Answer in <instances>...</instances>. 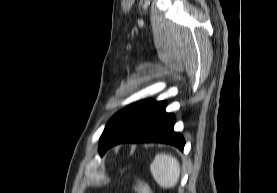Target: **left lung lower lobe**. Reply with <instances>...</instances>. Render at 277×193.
Wrapping results in <instances>:
<instances>
[{"mask_svg": "<svg viewBox=\"0 0 277 193\" xmlns=\"http://www.w3.org/2000/svg\"><path fill=\"white\" fill-rule=\"evenodd\" d=\"M166 102L143 100L124 109L100 140V154L122 142H161L183 150L184 138L174 132L175 117L165 112Z\"/></svg>", "mask_w": 277, "mask_h": 193, "instance_id": "0a47b994", "label": "left lung lower lobe"}]
</instances>
